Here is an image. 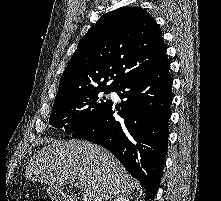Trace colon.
<instances>
[{
  "label": "colon",
  "mask_w": 221,
  "mask_h": 201,
  "mask_svg": "<svg viewBox=\"0 0 221 201\" xmlns=\"http://www.w3.org/2000/svg\"><path fill=\"white\" fill-rule=\"evenodd\" d=\"M12 201H19L18 199H13Z\"/></svg>",
  "instance_id": "obj_1"
}]
</instances>
